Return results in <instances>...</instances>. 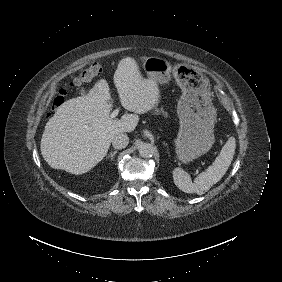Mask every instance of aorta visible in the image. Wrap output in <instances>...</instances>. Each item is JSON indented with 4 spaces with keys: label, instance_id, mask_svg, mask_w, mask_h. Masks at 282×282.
<instances>
[{
    "label": "aorta",
    "instance_id": "1",
    "mask_svg": "<svg viewBox=\"0 0 282 282\" xmlns=\"http://www.w3.org/2000/svg\"><path fill=\"white\" fill-rule=\"evenodd\" d=\"M138 152L140 156L149 158L154 154L155 151L150 143L144 142L138 147Z\"/></svg>",
    "mask_w": 282,
    "mask_h": 282
}]
</instances>
